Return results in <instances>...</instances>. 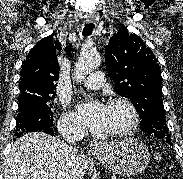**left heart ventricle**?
I'll use <instances>...</instances> for the list:
<instances>
[{"instance_id":"1","label":"left heart ventricle","mask_w":183,"mask_h":179,"mask_svg":"<svg viewBox=\"0 0 183 179\" xmlns=\"http://www.w3.org/2000/svg\"><path fill=\"white\" fill-rule=\"evenodd\" d=\"M131 119L129 110L123 105L107 106L105 132L117 130L126 126Z\"/></svg>"}]
</instances>
